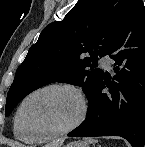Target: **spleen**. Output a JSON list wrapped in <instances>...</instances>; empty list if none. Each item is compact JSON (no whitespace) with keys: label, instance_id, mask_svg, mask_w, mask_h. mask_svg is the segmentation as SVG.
I'll return each mask as SVG.
<instances>
[{"label":"spleen","instance_id":"3e777b00","mask_svg":"<svg viewBox=\"0 0 145 147\" xmlns=\"http://www.w3.org/2000/svg\"><path fill=\"white\" fill-rule=\"evenodd\" d=\"M86 141L89 142V143H94V142H95V141L92 140V139H86Z\"/></svg>","mask_w":145,"mask_h":147}]
</instances>
